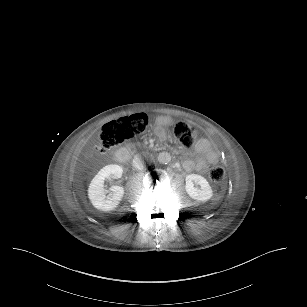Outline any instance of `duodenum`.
I'll list each match as a JSON object with an SVG mask.
<instances>
[{
    "label": "duodenum",
    "mask_w": 307,
    "mask_h": 307,
    "mask_svg": "<svg viewBox=\"0 0 307 307\" xmlns=\"http://www.w3.org/2000/svg\"><path fill=\"white\" fill-rule=\"evenodd\" d=\"M113 158L117 163H126L128 160V150L126 148H119L113 152Z\"/></svg>",
    "instance_id": "obj_1"
}]
</instances>
